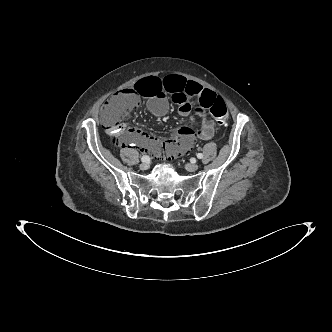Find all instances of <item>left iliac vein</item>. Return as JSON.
I'll use <instances>...</instances> for the list:
<instances>
[{
    "label": "left iliac vein",
    "instance_id": "4c4485c4",
    "mask_svg": "<svg viewBox=\"0 0 332 332\" xmlns=\"http://www.w3.org/2000/svg\"><path fill=\"white\" fill-rule=\"evenodd\" d=\"M185 168L189 172H194V171L198 170L199 166L195 163H188L185 165Z\"/></svg>",
    "mask_w": 332,
    "mask_h": 332
}]
</instances>
